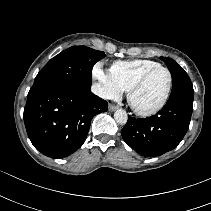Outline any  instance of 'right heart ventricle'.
Here are the masks:
<instances>
[{
    "label": "right heart ventricle",
    "mask_w": 211,
    "mask_h": 211,
    "mask_svg": "<svg viewBox=\"0 0 211 211\" xmlns=\"http://www.w3.org/2000/svg\"><path fill=\"white\" fill-rule=\"evenodd\" d=\"M160 65L148 59L116 61L110 67V73L122 91H128L131 85L148 69Z\"/></svg>",
    "instance_id": "1"
}]
</instances>
